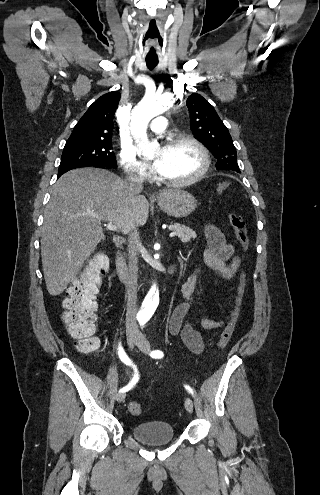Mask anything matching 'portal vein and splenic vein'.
<instances>
[{
  "label": "portal vein and splenic vein",
  "mask_w": 320,
  "mask_h": 495,
  "mask_svg": "<svg viewBox=\"0 0 320 495\" xmlns=\"http://www.w3.org/2000/svg\"><path fill=\"white\" fill-rule=\"evenodd\" d=\"M94 217L96 218H101L99 215L97 214H92ZM107 229H110V230H113V231H116L117 230V227L115 225H113L112 223H109L107 225ZM176 234L174 232L170 233V237H174Z\"/></svg>",
  "instance_id": "portal-vein-and-splenic-vein-1"
}]
</instances>
